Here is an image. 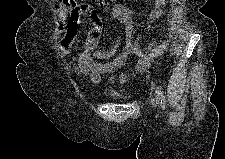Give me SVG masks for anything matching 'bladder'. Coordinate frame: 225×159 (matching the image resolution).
Segmentation results:
<instances>
[{
    "label": "bladder",
    "mask_w": 225,
    "mask_h": 159,
    "mask_svg": "<svg viewBox=\"0 0 225 159\" xmlns=\"http://www.w3.org/2000/svg\"><path fill=\"white\" fill-rule=\"evenodd\" d=\"M110 97L114 99H124L126 98V94L121 91H114L110 94Z\"/></svg>",
    "instance_id": "31cf9c89"
}]
</instances>
